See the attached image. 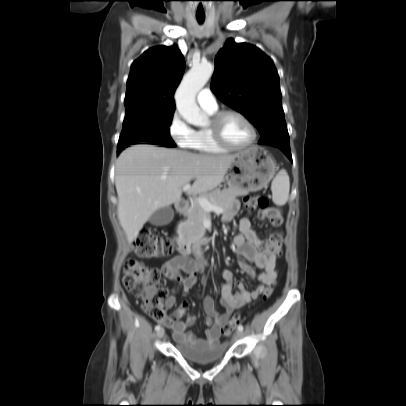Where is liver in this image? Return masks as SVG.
<instances>
[{"instance_id": "1", "label": "liver", "mask_w": 406, "mask_h": 406, "mask_svg": "<svg viewBox=\"0 0 406 406\" xmlns=\"http://www.w3.org/2000/svg\"><path fill=\"white\" fill-rule=\"evenodd\" d=\"M235 155L195 154L139 144L124 150L115 167L118 219L131 243L158 209L180 201L182 188L192 179L188 195L214 190L224 179Z\"/></svg>"}]
</instances>
